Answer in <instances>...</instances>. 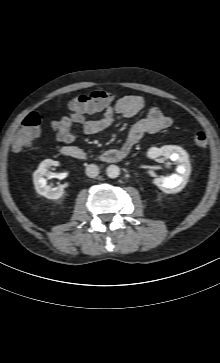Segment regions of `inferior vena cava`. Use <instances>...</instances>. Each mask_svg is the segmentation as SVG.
<instances>
[{"label": "inferior vena cava", "instance_id": "inferior-vena-cava-1", "mask_svg": "<svg viewBox=\"0 0 220 363\" xmlns=\"http://www.w3.org/2000/svg\"><path fill=\"white\" fill-rule=\"evenodd\" d=\"M85 172L88 177L94 178L99 174V168L95 164H90L87 165Z\"/></svg>", "mask_w": 220, "mask_h": 363}]
</instances>
